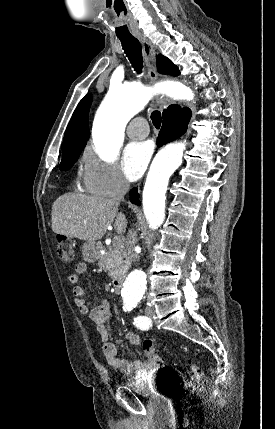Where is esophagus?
<instances>
[{"label":"esophagus","mask_w":275,"mask_h":429,"mask_svg":"<svg viewBox=\"0 0 275 429\" xmlns=\"http://www.w3.org/2000/svg\"><path fill=\"white\" fill-rule=\"evenodd\" d=\"M137 38L140 40L143 46L145 61L148 66V75L151 79V81L155 82L159 74L156 69L155 65V51L153 46L150 44V42L143 36L139 35ZM157 104L159 105L160 109L163 110L167 106V98L163 95H158L156 97Z\"/></svg>","instance_id":"1"}]
</instances>
